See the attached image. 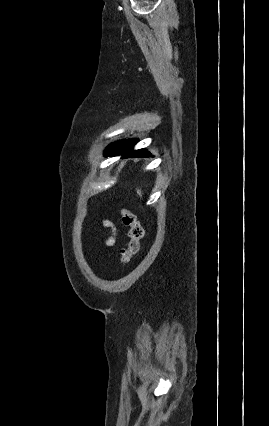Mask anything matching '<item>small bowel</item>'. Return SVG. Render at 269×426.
Returning a JSON list of instances; mask_svg holds the SVG:
<instances>
[{"label":"small bowel","instance_id":"1","mask_svg":"<svg viewBox=\"0 0 269 426\" xmlns=\"http://www.w3.org/2000/svg\"><path fill=\"white\" fill-rule=\"evenodd\" d=\"M102 225H103V227L109 229V231H110V234L108 235V237L105 240V247L111 248L115 244L116 229H115L114 225L109 220H103Z\"/></svg>","mask_w":269,"mask_h":426}]
</instances>
